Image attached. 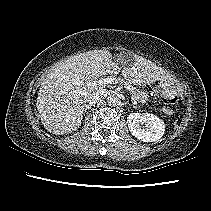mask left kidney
I'll list each match as a JSON object with an SVG mask.
<instances>
[{"instance_id": "5707ae66", "label": "left kidney", "mask_w": 211, "mask_h": 211, "mask_svg": "<svg viewBox=\"0 0 211 211\" xmlns=\"http://www.w3.org/2000/svg\"><path fill=\"white\" fill-rule=\"evenodd\" d=\"M127 123L132 135L144 142L159 140L165 131L163 120L150 113H130Z\"/></svg>"}]
</instances>
